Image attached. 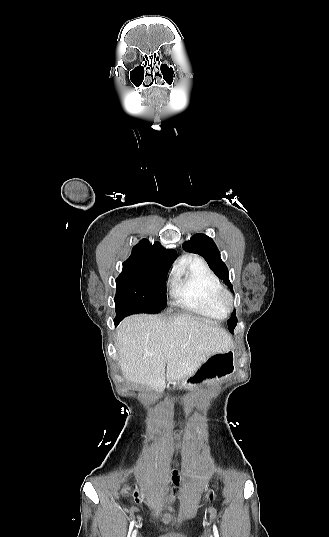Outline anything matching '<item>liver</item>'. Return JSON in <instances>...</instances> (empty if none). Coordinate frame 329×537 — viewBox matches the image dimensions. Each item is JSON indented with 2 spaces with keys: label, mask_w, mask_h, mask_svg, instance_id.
I'll use <instances>...</instances> for the list:
<instances>
[{
  "label": "liver",
  "mask_w": 329,
  "mask_h": 537,
  "mask_svg": "<svg viewBox=\"0 0 329 537\" xmlns=\"http://www.w3.org/2000/svg\"><path fill=\"white\" fill-rule=\"evenodd\" d=\"M233 348L217 323L192 315H138L117 328L116 349L123 376L161 393L165 380L192 375L213 354ZM166 368V378H165Z\"/></svg>",
  "instance_id": "1"
}]
</instances>
